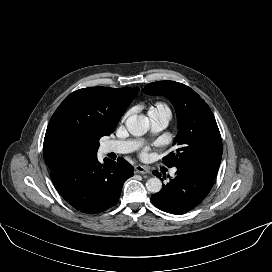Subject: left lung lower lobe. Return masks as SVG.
Masks as SVG:
<instances>
[{"instance_id": "1", "label": "left lung lower lobe", "mask_w": 272, "mask_h": 272, "mask_svg": "<svg viewBox=\"0 0 272 272\" xmlns=\"http://www.w3.org/2000/svg\"><path fill=\"white\" fill-rule=\"evenodd\" d=\"M153 174L161 177L158 171H154ZM213 181L214 179L209 176L177 167L175 177L163 185L160 192L153 194L151 201L162 211L183 214L194 209L205 199L212 188Z\"/></svg>"}]
</instances>
